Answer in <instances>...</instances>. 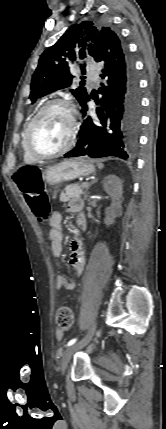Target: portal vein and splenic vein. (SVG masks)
I'll use <instances>...</instances> for the list:
<instances>
[{"label": "portal vein and splenic vein", "instance_id": "obj_1", "mask_svg": "<svg viewBox=\"0 0 166 429\" xmlns=\"http://www.w3.org/2000/svg\"><path fill=\"white\" fill-rule=\"evenodd\" d=\"M84 185H86V183H82V184H81V186H84Z\"/></svg>", "mask_w": 166, "mask_h": 429}]
</instances>
